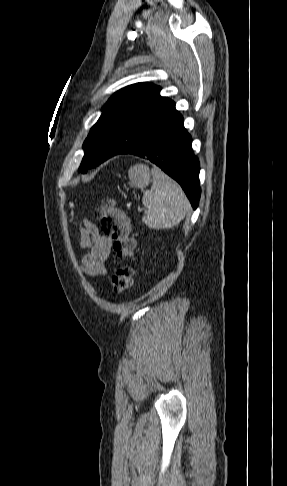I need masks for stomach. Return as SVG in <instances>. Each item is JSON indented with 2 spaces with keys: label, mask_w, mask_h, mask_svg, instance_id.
Returning a JSON list of instances; mask_svg holds the SVG:
<instances>
[{
  "label": "stomach",
  "mask_w": 287,
  "mask_h": 486,
  "mask_svg": "<svg viewBox=\"0 0 287 486\" xmlns=\"http://www.w3.org/2000/svg\"><path fill=\"white\" fill-rule=\"evenodd\" d=\"M128 177L132 187L144 188L150 182L149 168L144 164L134 165L129 169Z\"/></svg>",
  "instance_id": "obj_1"
}]
</instances>
